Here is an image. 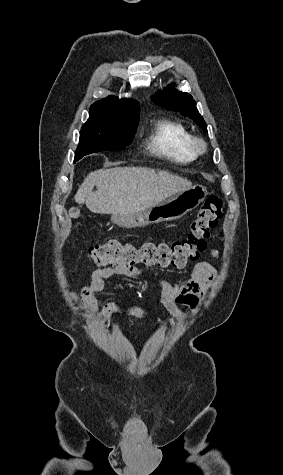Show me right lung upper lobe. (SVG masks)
Instances as JSON below:
<instances>
[{
    "instance_id": "right-lung-upper-lobe-1",
    "label": "right lung upper lobe",
    "mask_w": 283,
    "mask_h": 475,
    "mask_svg": "<svg viewBox=\"0 0 283 475\" xmlns=\"http://www.w3.org/2000/svg\"><path fill=\"white\" fill-rule=\"evenodd\" d=\"M121 106H139L137 101L118 99L115 96H108L105 99L95 102L92 107H121Z\"/></svg>"
}]
</instances>
